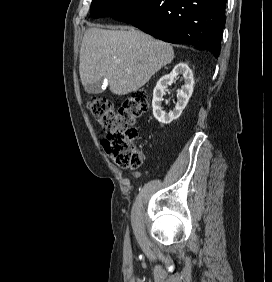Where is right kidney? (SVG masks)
Returning a JSON list of instances; mask_svg holds the SVG:
<instances>
[{
	"label": "right kidney",
	"mask_w": 272,
	"mask_h": 282,
	"mask_svg": "<svg viewBox=\"0 0 272 282\" xmlns=\"http://www.w3.org/2000/svg\"><path fill=\"white\" fill-rule=\"evenodd\" d=\"M181 75L184 78V85L181 90L177 93V103L173 111L166 113L161 108V102L163 100V94L167 86ZM194 78L192 70L186 63H178L175 65L173 70L168 74L164 75L157 82L156 87L153 91L152 108L154 117L161 124H169L173 120H176L181 115L183 109L186 107L192 93H193Z\"/></svg>",
	"instance_id": "obj_1"
}]
</instances>
